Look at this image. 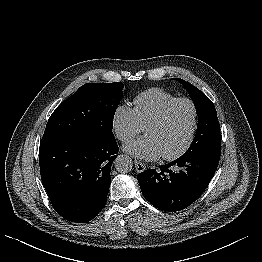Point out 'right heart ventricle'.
<instances>
[{
  "label": "right heart ventricle",
  "instance_id": "obj_1",
  "mask_svg": "<svg viewBox=\"0 0 262 262\" xmlns=\"http://www.w3.org/2000/svg\"><path fill=\"white\" fill-rule=\"evenodd\" d=\"M177 97L161 88H151L133 99V110L142 127H146L170 102Z\"/></svg>",
  "mask_w": 262,
  "mask_h": 262
}]
</instances>
